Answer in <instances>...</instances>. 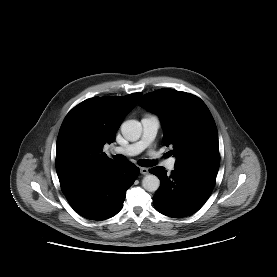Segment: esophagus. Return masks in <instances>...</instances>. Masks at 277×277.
I'll list each match as a JSON object with an SVG mask.
<instances>
[{"label":"esophagus","instance_id":"obj_1","mask_svg":"<svg viewBox=\"0 0 277 277\" xmlns=\"http://www.w3.org/2000/svg\"><path fill=\"white\" fill-rule=\"evenodd\" d=\"M140 172L141 174L146 175L149 173V169L146 167H140Z\"/></svg>","mask_w":277,"mask_h":277}]
</instances>
